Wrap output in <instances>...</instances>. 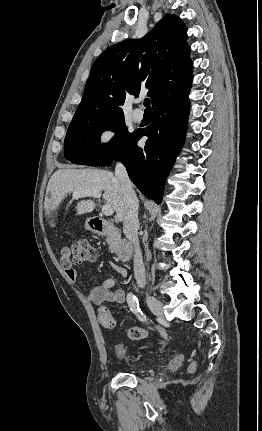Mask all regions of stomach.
<instances>
[{
    "label": "stomach",
    "mask_w": 262,
    "mask_h": 431,
    "mask_svg": "<svg viewBox=\"0 0 262 431\" xmlns=\"http://www.w3.org/2000/svg\"><path fill=\"white\" fill-rule=\"evenodd\" d=\"M85 226H86L87 228H90V225H89V222H88V221L86 222Z\"/></svg>",
    "instance_id": "stomach-1"
}]
</instances>
